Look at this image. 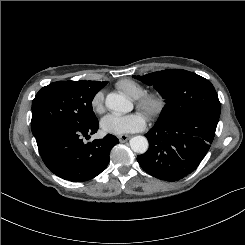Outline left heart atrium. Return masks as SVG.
<instances>
[{"mask_svg":"<svg viewBox=\"0 0 245 245\" xmlns=\"http://www.w3.org/2000/svg\"><path fill=\"white\" fill-rule=\"evenodd\" d=\"M100 125L105 133L120 136L142 130L145 127V118L140 113L108 114L102 118Z\"/></svg>","mask_w":245,"mask_h":245,"instance_id":"left-heart-atrium-1","label":"left heart atrium"}]
</instances>
